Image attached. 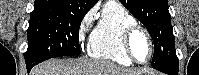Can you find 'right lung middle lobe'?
<instances>
[{
	"label": "right lung middle lobe",
	"mask_w": 199,
	"mask_h": 75,
	"mask_svg": "<svg viewBox=\"0 0 199 75\" xmlns=\"http://www.w3.org/2000/svg\"><path fill=\"white\" fill-rule=\"evenodd\" d=\"M85 14L56 7L34 8L25 60L38 64L54 57L80 55L79 28Z\"/></svg>",
	"instance_id": "1"
}]
</instances>
